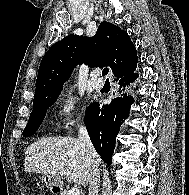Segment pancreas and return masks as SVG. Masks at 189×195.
I'll use <instances>...</instances> for the list:
<instances>
[{
  "label": "pancreas",
  "instance_id": "obj_1",
  "mask_svg": "<svg viewBox=\"0 0 189 195\" xmlns=\"http://www.w3.org/2000/svg\"><path fill=\"white\" fill-rule=\"evenodd\" d=\"M60 195H68V190H62Z\"/></svg>",
  "mask_w": 189,
  "mask_h": 195
}]
</instances>
